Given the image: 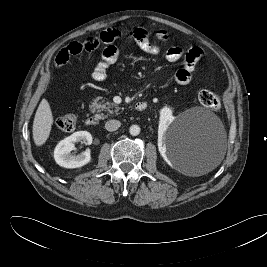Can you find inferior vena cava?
Returning a JSON list of instances; mask_svg holds the SVG:
<instances>
[{
    "label": "inferior vena cava",
    "mask_w": 267,
    "mask_h": 267,
    "mask_svg": "<svg viewBox=\"0 0 267 267\" xmlns=\"http://www.w3.org/2000/svg\"><path fill=\"white\" fill-rule=\"evenodd\" d=\"M121 126L120 121L118 120H109L105 124L107 131H116Z\"/></svg>",
    "instance_id": "602c4592"
}]
</instances>
